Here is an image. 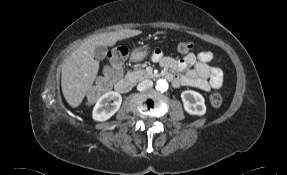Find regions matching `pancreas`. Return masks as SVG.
Listing matches in <instances>:
<instances>
[{
	"label": "pancreas",
	"mask_w": 287,
	"mask_h": 175,
	"mask_svg": "<svg viewBox=\"0 0 287 175\" xmlns=\"http://www.w3.org/2000/svg\"><path fill=\"white\" fill-rule=\"evenodd\" d=\"M148 76L149 74L144 69H137L127 74V77L133 81L143 80Z\"/></svg>",
	"instance_id": "cf45deb5"
}]
</instances>
